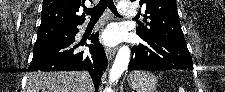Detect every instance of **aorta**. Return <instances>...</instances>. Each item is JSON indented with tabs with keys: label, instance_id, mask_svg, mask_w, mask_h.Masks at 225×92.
Masks as SVG:
<instances>
[{
	"label": "aorta",
	"instance_id": "1",
	"mask_svg": "<svg viewBox=\"0 0 225 92\" xmlns=\"http://www.w3.org/2000/svg\"><path fill=\"white\" fill-rule=\"evenodd\" d=\"M130 61V49L128 46H122L116 55L115 61L109 72V81L112 83L117 81L122 73L127 69Z\"/></svg>",
	"mask_w": 225,
	"mask_h": 92
}]
</instances>
